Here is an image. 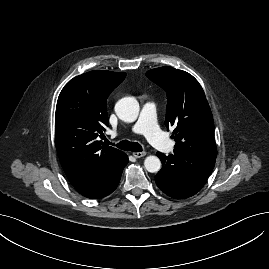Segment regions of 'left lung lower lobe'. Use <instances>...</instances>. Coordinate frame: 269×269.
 <instances>
[{
	"mask_svg": "<svg viewBox=\"0 0 269 269\" xmlns=\"http://www.w3.org/2000/svg\"><path fill=\"white\" fill-rule=\"evenodd\" d=\"M162 169L157 173V186L168 196L184 199L193 196L205 185L216 158L199 153L174 149L166 156L157 152Z\"/></svg>",
	"mask_w": 269,
	"mask_h": 269,
	"instance_id": "0a47b994",
	"label": "left lung lower lobe"
}]
</instances>
